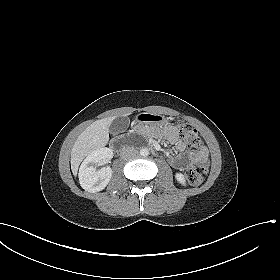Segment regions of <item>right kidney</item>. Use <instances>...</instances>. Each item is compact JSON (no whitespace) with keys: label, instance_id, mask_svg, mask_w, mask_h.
Segmentation results:
<instances>
[{"label":"right kidney","instance_id":"right-kidney-1","mask_svg":"<svg viewBox=\"0 0 280 280\" xmlns=\"http://www.w3.org/2000/svg\"><path fill=\"white\" fill-rule=\"evenodd\" d=\"M112 158V150L106 147L95 149L86 157L79 169V183L85 191L96 193L107 186L112 177L111 168L97 170L96 166L108 163Z\"/></svg>","mask_w":280,"mask_h":280}]
</instances>
